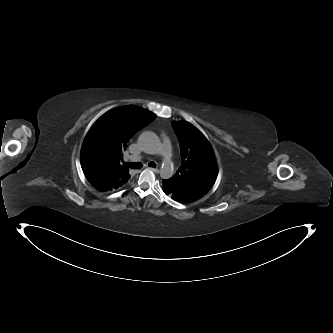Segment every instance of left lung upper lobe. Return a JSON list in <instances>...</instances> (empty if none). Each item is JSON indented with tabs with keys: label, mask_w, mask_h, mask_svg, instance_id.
Returning a JSON list of instances; mask_svg holds the SVG:
<instances>
[{
	"label": "left lung upper lobe",
	"mask_w": 333,
	"mask_h": 333,
	"mask_svg": "<svg viewBox=\"0 0 333 333\" xmlns=\"http://www.w3.org/2000/svg\"><path fill=\"white\" fill-rule=\"evenodd\" d=\"M178 137L182 165L169 180L170 192L188 202L203 197L217 178V164L213 149L205 136L192 124L173 122Z\"/></svg>",
	"instance_id": "1"
}]
</instances>
